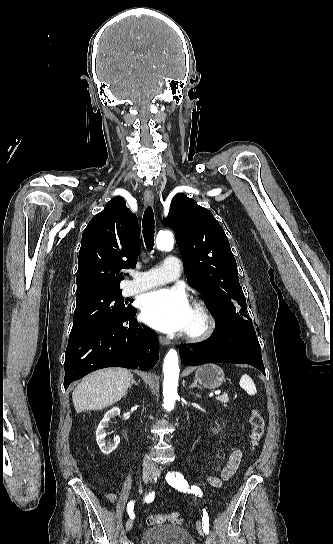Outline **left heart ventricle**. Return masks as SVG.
<instances>
[{
	"label": "left heart ventricle",
	"mask_w": 333,
	"mask_h": 544,
	"mask_svg": "<svg viewBox=\"0 0 333 544\" xmlns=\"http://www.w3.org/2000/svg\"><path fill=\"white\" fill-rule=\"evenodd\" d=\"M200 324V317L199 315L192 309L191 318L188 324V327L186 330H192L199 326Z\"/></svg>",
	"instance_id": "b2bd125f"
}]
</instances>
